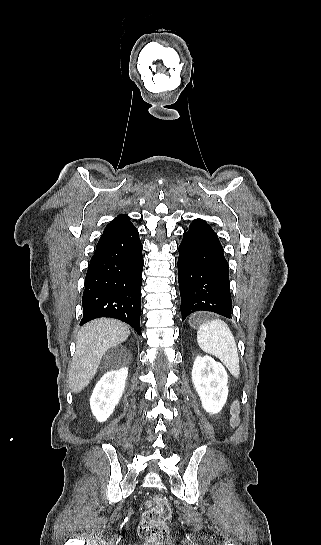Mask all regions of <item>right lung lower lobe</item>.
<instances>
[{
	"label": "right lung lower lobe",
	"mask_w": 321,
	"mask_h": 545,
	"mask_svg": "<svg viewBox=\"0 0 321 545\" xmlns=\"http://www.w3.org/2000/svg\"><path fill=\"white\" fill-rule=\"evenodd\" d=\"M142 249L133 225L100 237L85 277L80 325L111 317L140 335Z\"/></svg>",
	"instance_id": "98d812e1"
}]
</instances>
